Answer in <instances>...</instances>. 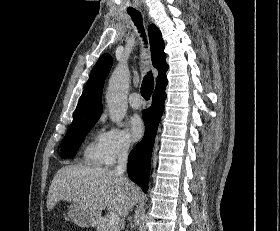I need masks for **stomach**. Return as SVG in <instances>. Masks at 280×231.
Instances as JSON below:
<instances>
[{
  "label": "stomach",
  "instance_id": "stomach-1",
  "mask_svg": "<svg viewBox=\"0 0 280 231\" xmlns=\"http://www.w3.org/2000/svg\"><path fill=\"white\" fill-rule=\"evenodd\" d=\"M68 215L73 223L80 227H95L97 223V219H93V215H90L88 209L81 207L78 203L68 205Z\"/></svg>",
  "mask_w": 280,
  "mask_h": 231
}]
</instances>
